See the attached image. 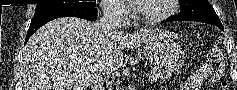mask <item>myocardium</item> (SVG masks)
<instances>
[{
  "label": "myocardium",
  "mask_w": 237,
  "mask_h": 90,
  "mask_svg": "<svg viewBox=\"0 0 237 90\" xmlns=\"http://www.w3.org/2000/svg\"><path fill=\"white\" fill-rule=\"evenodd\" d=\"M166 3V8L164 11L155 16H142L139 14L138 9L136 8V1H130L129 9L131 12V16L133 19V26L136 28H140L142 24H156L159 23L169 17H171L176 10V6L174 3H181V0H159Z\"/></svg>",
  "instance_id": "obj_1"
}]
</instances>
